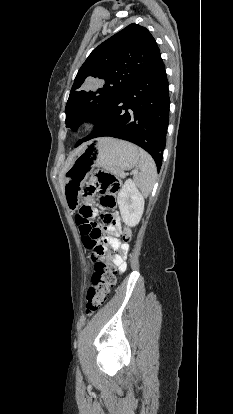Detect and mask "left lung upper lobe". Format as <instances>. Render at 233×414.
Segmentation results:
<instances>
[{
    "mask_svg": "<svg viewBox=\"0 0 233 414\" xmlns=\"http://www.w3.org/2000/svg\"><path fill=\"white\" fill-rule=\"evenodd\" d=\"M159 54L153 36L138 24L128 25L101 43L75 77L65 108L66 127L76 130L84 121L102 117ZM95 82L98 89L92 88Z\"/></svg>",
    "mask_w": 233,
    "mask_h": 414,
    "instance_id": "1",
    "label": "left lung upper lobe"
}]
</instances>
